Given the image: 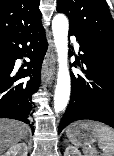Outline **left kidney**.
Wrapping results in <instances>:
<instances>
[{
    "mask_svg": "<svg viewBox=\"0 0 114 156\" xmlns=\"http://www.w3.org/2000/svg\"><path fill=\"white\" fill-rule=\"evenodd\" d=\"M64 156H82V154L76 147L69 145L65 149Z\"/></svg>",
    "mask_w": 114,
    "mask_h": 156,
    "instance_id": "1",
    "label": "left kidney"
}]
</instances>
